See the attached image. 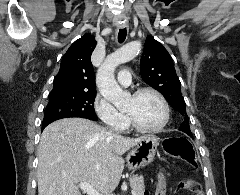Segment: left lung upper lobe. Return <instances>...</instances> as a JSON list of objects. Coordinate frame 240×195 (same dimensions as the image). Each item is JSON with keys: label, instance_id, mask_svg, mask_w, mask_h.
<instances>
[{"label": "left lung upper lobe", "instance_id": "obj_1", "mask_svg": "<svg viewBox=\"0 0 240 195\" xmlns=\"http://www.w3.org/2000/svg\"><path fill=\"white\" fill-rule=\"evenodd\" d=\"M140 70L142 79L159 91L167 102L183 117L179 130L192 136L186 104L181 93V83L173 66V59L164 46L148 36L141 57Z\"/></svg>", "mask_w": 240, "mask_h": 195}]
</instances>
